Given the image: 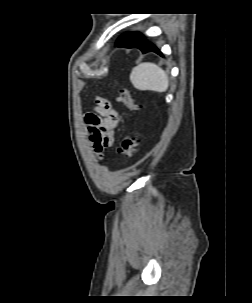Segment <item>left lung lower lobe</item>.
Wrapping results in <instances>:
<instances>
[{
	"label": "left lung lower lobe",
	"mask_w": 252,
	"mask_h": 303,
	"mask_svg": "<svg viewBox=\"0 0 252 303\" xmlns=\"http://www.w3.org/2000/svg\"><path fill=\"white\" fill-rule=\"evenodd\" d=\"M116 45L118 47H125V48H138L143 53L155 52V53L163 56V54L158 50V48L155 45L147 42L143 38V36L138 32L129 33L121 41H119Z\"/></svg>",
	"instance_id": "left-lung-lower-lobe-1"
}]
</instances>
